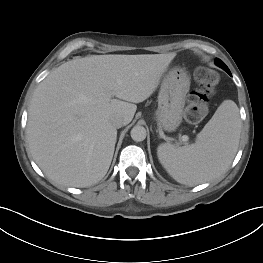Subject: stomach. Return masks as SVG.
Segmentation results:
<instances>
[{"mask_svg": "<svg viewBox=\"0 0 263 263\" xmlns=\"http://www.w3.org/2000/svg\"><path fill=\"white\" fill-rule=\"evenodd\" d=\"M190 79L180 67H172L164 76L158 95L156 121L165 131H175L182 122Z\"/></svg>", "mask_w": 263, "mask_h": 263, "instance_id": "1", "label": "stomach"}]
</instances>
